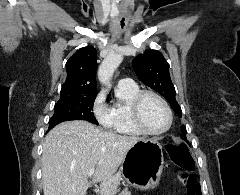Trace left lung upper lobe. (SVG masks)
Returning <instances> with one entry per match:
<instances>
[{
    "label": "left lung upper lobe",
    "instance_id": "left-lung-upper-lobe-1",
    "mask_svg": "<svg viewBox=\"0 0 240 195\" xmlns=\"http://www.w3.org/2000/svg\"><path fill=\"white\" fill-rule=\"evenodd\" d=\"M133 68L138 78L147 86L161 94L171 105L178 117L182 110L176 101V91L169 75V66L160 52L148 50L134 58ZM182 138H186V128L181 126Z\"/></svg>",
    "mask_w": 240,
    "mask_h": 195
}]
</instances>
